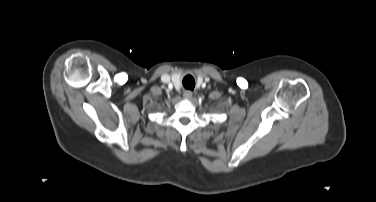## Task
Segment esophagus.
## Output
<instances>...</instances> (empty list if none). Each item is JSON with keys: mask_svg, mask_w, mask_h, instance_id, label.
I'll return each mask as SVG.
<instances>
[{"mask_svg": "<svg viewBox=\"0 0 376 202\" xmlns=\"http://www.w3.org/2000/svg\"><path fill=\"white\" fill-rule=\"evenodd\" d=\"M192 97H193V92H192V91H190V90H185V91L183 92V98H184V99L190 100V99H192Z\"/></svg>", "mask_w": 376, "mask_h": 202, "instance_id": "1", "label": "esophagus"}]
</instances>
